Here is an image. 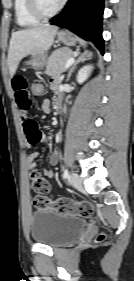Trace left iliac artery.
Listing matches in <instances>:
<instances>
[{
  "label": "left iliac artery",
  "instance_id": "obj_1",
  "mask_svg": "<svg viewBox=\"0 0 134 281\" xmlns=\"http://www.w3.org/2000/svg\"><path fill=\"white\" fill-rule=\"evenodd\" d=\"M68 176H69L68 169L65 168L62 177H63V179H66V178H68Z\"/></svg>",
  "mask_w": 134,
  "mask_h": 281
}]
</instances>
